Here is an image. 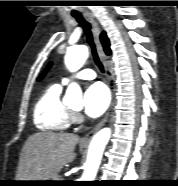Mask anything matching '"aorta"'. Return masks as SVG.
<instances>
[{"label": "aorta", "instance_id": "1", "mask_svg": "<svg viewBox=\"0 0 178 186\" xmlns=\"http://www.w3.org/2000/svg\"><path fill=\"white\" fill-rule=\"evenodd\" d=\"M88 58V48L86 46H77L70 48L65 55V65L71 72L79 70ZM65 101L73 104L82 103V91L77 83H71L65 94ZM111 136L109 128H103L97 132L88 149L85 170L82 175V181H93L96 177L99 165L101 163L104 148Z\"/></svg>", "mask_w": 178, "mask_h": 186}]
</instances>
